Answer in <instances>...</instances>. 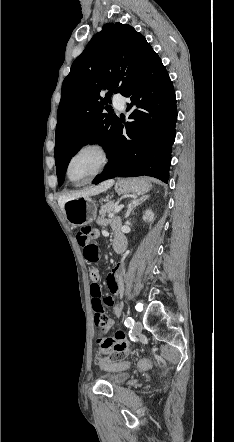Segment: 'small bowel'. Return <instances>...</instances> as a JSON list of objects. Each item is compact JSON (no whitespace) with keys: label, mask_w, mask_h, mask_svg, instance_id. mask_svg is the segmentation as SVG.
Segmentation results:
<instances>
[{"label":"small bowel","mask_w":234,"mask_h":442,"mask_svg":"<svg viewBox=\"0 0 234 442\" xmlns=\"http://www.w3.org/2000/svg\"><path fill=\"white\" fill-rule=\"evenodd\" d=\"M99 222L104 224L105 221L100 219ZM111 225L115 230L120 227V222L117 219L111 221ZM99 236V232L94 230L92 238ZM117 236H123L117 233ZM124 239V238H123ZM125 241V240H124ZM124 264L122 262L118 263L112 271L107 276V285L112 294L111 297H107L108 306L112 307V313L118 316L122 311V303L116 298H121L124 293ZM92 288V284H91ZM113 320L110 319L109 314H95L94 316V326L97 328L96 333V343L99 345L100 352L110 356V359L122 360L126 359L128 355H131L136 347L134 345L128 344L126 342V335L123 331L115 332L111 337L106 338L104 333L107 329L112 327ZM97 359H108L103 356H98Z\"/></svg>","instance_id":"c3829d8e"}]
</instances>
